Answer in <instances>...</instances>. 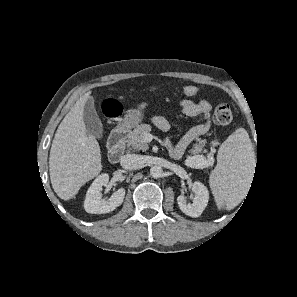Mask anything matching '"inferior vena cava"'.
I'll return each mask as SVG.
<instances>
[{
  "label": "inferior vena cava",
  "instance_id": "inferior-vena-cava-1",
  "mask_svg": "<svg viewBox=\"0 0 297 297\" xmlns=\"http://www.w3.org/2000/svg\"><path fill=\"white\" fill-rule=\"evenodd\" d=\"M123 169L134 170L138 169L142 164V157L137 154H126L121 158L120 162Z\"/></svg>",
  "mask_w": 297,
  "mask_h": 297
}]
</instances>
